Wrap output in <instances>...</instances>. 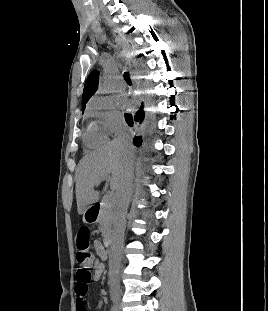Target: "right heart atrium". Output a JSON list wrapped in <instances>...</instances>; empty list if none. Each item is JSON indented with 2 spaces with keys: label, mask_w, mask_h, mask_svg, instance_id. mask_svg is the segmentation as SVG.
<instances>
[{
  "label": "right heart atrium",
  "mask_w": 268,
  "mask_h": 311,
  "mask_svg": "<svg viewBox=\"0 0 268 311\" xmlns=\"http://www.w3.org/2000/svg\"><path fill=\"white\" fill-rule=\"evenodd\" d=\"M88 112L95 118L102 130L109 135L115 134L123 127V119L111 98L96 96L89 104Z\"/></svg>",
  "instance_id": "d8ad5b80"
}]
</instances>
